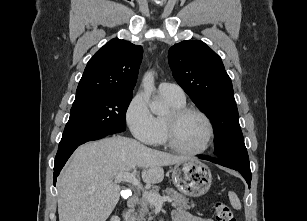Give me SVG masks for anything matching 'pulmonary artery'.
Listing matches in <instances>:
<instances>
[{
  "label": "pulmonary artery",
  "mask_w": 307,
  "mask_h": 221,
  "mask_svg": "<svg viewBox=\"0 0 307 221\" xmlns=\"http://www.w3.org/2000/svg\"><path fill=\"white\" fill-rule=\"evenodd\" d=\"M158 91L164 97H167V98H170L176 101H185L184 91L177 84L162 82L159 84Z\"/></svg>",
  "instance_id": "obj_1"
}]
</instances>
